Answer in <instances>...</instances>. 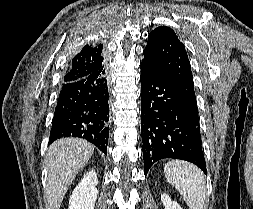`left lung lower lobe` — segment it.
Listing matches in <instances>:
<instances>
[{
	"label": "left lung lower lobe",
	"instance_id": "1",
	"mask_svg": "<svg viewBox=\"0 0 253 209\" xmlns=\"http://www.w3.org/2000/svg\"><path fill=\"white\" fill-rule=\"evenodd\" d=\"M141 136L144 174L160 159L174 158L197 165L206 174L198 116L172 82L141 62Z\"/></svg>",
	"mask_w": 253,
	"mask_h": 209
}]
</instances>
